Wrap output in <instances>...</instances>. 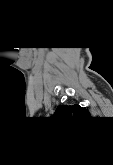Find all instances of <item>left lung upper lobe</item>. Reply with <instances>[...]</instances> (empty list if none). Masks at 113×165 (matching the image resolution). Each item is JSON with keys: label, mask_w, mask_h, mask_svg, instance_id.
<instances>
[{"label": "left lung upper lobe", "mask_w": 113, "mask_h": 165, "mask_svg": "<svg viewBox=\"0 0 113 165\" xmlns=\"http://www.w3.org/2000/svg\"><path fill=\"white\" fill-rule=\"evenodd\" d=\"M55 114H64V115H73L75 117H85L89 115V112L85 109L82 108L79 105H73V106H67L64 105L62 107H58Z\"/></svg>", "instance_id": "1"}]
</instances>
